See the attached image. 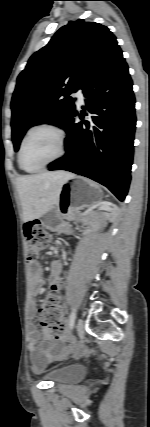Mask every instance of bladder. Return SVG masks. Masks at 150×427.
Returning <instances> with one entry per match:
<instances>
[{
    "instance_id": "31cf9c89",
    "label": "bladder",
    "mask_w": 150,
    "mask_h": 427,
    "mask_svg": "<svg viewBox=\"0 0 150 427\" xmlns=\"http://www.w3.org/2000/svg\"><path fill=\"white\" fill-rule=\"evenodd\" d=\"M81 374V367L69 365L52 371L47 377L54 384L60 385L76 380L81 376Z\"/></svg>"
}]
</instances>
